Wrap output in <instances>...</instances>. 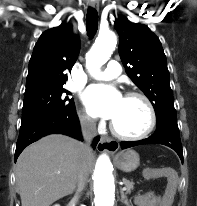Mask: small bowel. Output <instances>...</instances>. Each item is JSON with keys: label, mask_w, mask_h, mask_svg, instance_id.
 <instances>
[{"label": "small bowel", "mask_w": 197, "mask_h": 206, "mask_svg": "<svg viewBox=\"0 0 197 206\" xmlns=\"http://www.w3.org/2000/svg\"><path fill=\"white\" fill-rule=\"evenodd\" d=\"M135 202L137 206H163V200L153 194H139Z\"/></svg>", "instance_id": "obj_1"}]
</instances>
